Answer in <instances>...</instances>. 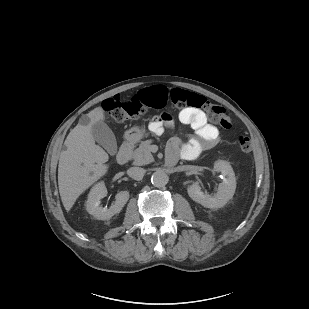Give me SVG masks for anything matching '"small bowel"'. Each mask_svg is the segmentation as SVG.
Returning <instances> with one entry per match:
<instances>
[{
  "label": "small bowel",
  "instance_id": "obj_1",
  "mask_svg": "<svg viewBox=\"0 0 309 309\" xmlns=\"http://www.w3.org/2000/svg\"><path fill=\"white\" fill-rule=\"evenodd\" d=\"M179 120L190 125L194 135L188 143L183 144L179 138H172L167 146V162L176 163L179 158H191L199 155L204 150L210 149L218 142L217 128L207 121L201 110L187 108L179 113ZM172 127L174 119L171 115L163 114L153 119L151 129L160 131L162 126Z\"/></svg>",
  "mask_w": 309,
  "mask_h": 309
}]
</instances>
